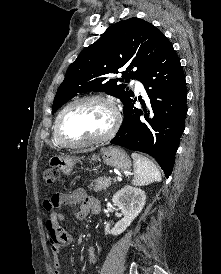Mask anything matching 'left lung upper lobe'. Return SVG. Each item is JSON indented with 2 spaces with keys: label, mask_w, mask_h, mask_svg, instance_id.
Wrapping results in <instances>:
<instances>
[{
  "label": "left lung upper lobe",
  "mask_w": 221,
  "mask_h": 274,
  "mask_svg": "<svg viewBox=\"0 0 221 274\" xmlns=\"http://www.w3.org/2000/svg\"><path fill=\"white\" fill-rule=\"evenodd\" d=\"M169 44L162 32L139 18L111 25L69 66L56 92L52 113L77 94L89 91L106 92L119 98L125 106L134 96L126 83L130 79L138 80ZM118 69L125 70L123 78H112Z\"/></svg>",
  "instance_id": "obj_1"
}]
</instances>
